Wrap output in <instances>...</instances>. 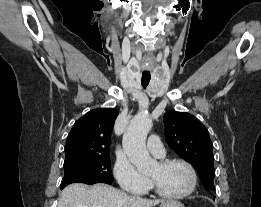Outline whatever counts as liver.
Wrapping results in <instances>:
<instances>
[{
	"label": "liver",
	"instance_id": "1",
	"mask_svg": "<svg viewBox=\"0 0 261 207\" xmlns=\"http://www.w3.org/2000/svg\"><path fill=\"white\" fill-rule=\"evenodd\" d=\"M164 200L130 197L107 184L88 187L82 183L67 186L61 193L58 207H154Z\"/></svg>",
	"mask_w": 261,
	"mask_h": 207
}]
</instances>
